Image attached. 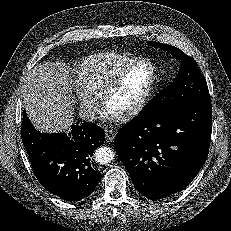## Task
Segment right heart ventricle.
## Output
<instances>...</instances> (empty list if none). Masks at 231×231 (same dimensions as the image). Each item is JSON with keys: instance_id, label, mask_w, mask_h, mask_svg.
Listing matches in <instances>:
<instances>
[{"instance_id": "right-heart-ventricle-1", "label": "right heart ventricle", "mask_w": 231, "mask_h": 231, "mask_svg": "<svg viewBox=\"0 0 231 231\" xmlns=\"http://www.w3.org/2000/svg\"><path fill=\"white\" fill-rule=\"evenodd\" d=\"M139 57L128 53H100L83 59L75 71L78 85L93 98H99L108 82Z\"/></svg>"}]
</instances>
